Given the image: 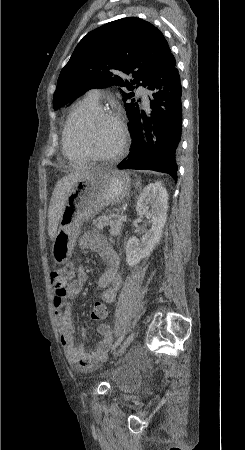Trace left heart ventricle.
<instances>
[{"label":"left heart ventricle","mask_w":245,"mask_h":450,"mask_svg":"<svg viewBox=\"0 0 245 450\" xmlns=\"http://www.w3.org/2000/svg\"><path fill=\"white\" fill-rule=\"evenodd\" d=\"M80 138L98 155L114 152L121 140L118 125L108 119L97 121L90 129H86L81 120L75 122Z\"/></svg>","instance_id":"obj_1"}]
</instances>
